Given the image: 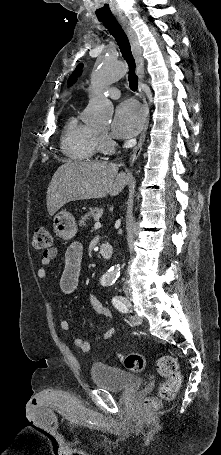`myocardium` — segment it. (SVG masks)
Returning a JSON list of instances; mask_svg holds the SVG:
<instances>
[{
    "mask_svg": "<svg viewBox=\"0 0 221 455\" xmlns=\"http://www.w3.org/2000/svg\"><path fill=\"white\" fill-rule=\"evenodd\" d=\"M98 149L103 152H111L115 143L106 135L104 131H98Z\"/></svg>",
    "mask_w": 221,
    "mask_h": 455,
    "instance_id": "obj_1",
    "label": "myocardium"
}]
</instances>
